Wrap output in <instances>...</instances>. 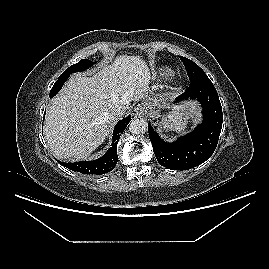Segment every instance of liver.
Segmentation results:
<instances>
[{
    "mask_svg": "<svg viewBox=\"0 0 269 269\" xmlns=\"http://www.w3.org/2000/svg\"><path fill=\"white\" fill-rule=\"evenodd\" d=\"M149 69L140 56L119 55L93 76L73 75L54 97L46 114L44 135L59 159L79 160L91 154L108 136L115 106L129 108L144 96ZM195 113L194 104H186Z\"/></svg>",
    "mask_w": 269,
    "mask_h": 269,
    "instance_id": "obj_1",
    "label": "liver"
}]
</instances>
